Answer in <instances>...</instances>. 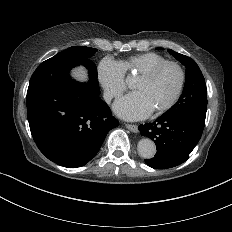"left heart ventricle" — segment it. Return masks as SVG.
Segmentation results:
<instances>
[{
  "label": "left heart ventricle",
  "mask_w": 232,
  "mask_h": 232,
  "mask_svg": "<svg viewBox=\"0 0 232 232\" xmlns=\"http://www.w3.org/2000/svg\"><path fill=\"white\" fill-rule=\"evenodd\" d=\"M180 80L177 68L167 66L149 81L137 78L132 87L144 95L155 111L170 102L179 88Z\"/></svg>",
  "instance_id": "left-heart-ventricle-1"
}]
</instances>
